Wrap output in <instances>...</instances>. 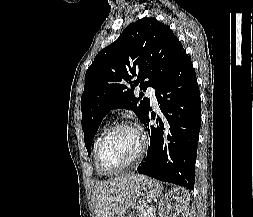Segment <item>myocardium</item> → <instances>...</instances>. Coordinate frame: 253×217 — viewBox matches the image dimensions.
<instances>
[{"instance_id": "obj_1", "label": "myocardium", "mask_w": 253, "mask_h": 217, "mask_svg": "<svg viewBox=\"0 0 253 217\" xmlns=\"http://www.w3.org/2000/svg\"><path fill=\"white\" fill-rule=\"evenodd\" d=\"M122 128H127V129H131L134 130L138 137H139V150L137 152V154L134 156V158L127 164L114 169V170H108L106 169L102 162H101V151H102V147L106 141V139L116 130L118 129H122ZM147 149V137L145 132L143 131L142 128H140L139 126L132 124L130 122H119L116 123L114 125H112L111 127H109L100 137L97 147H96V152H95V162H96V167L99 173H101L102 175H106V176H110V175H115L118 174L120 172H123L129 168H131L132 166H134L135 164H137L144 156L145 152Z\"/></svg>"}]
</instances>
